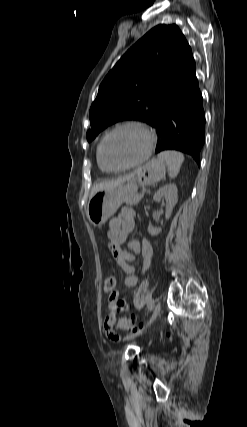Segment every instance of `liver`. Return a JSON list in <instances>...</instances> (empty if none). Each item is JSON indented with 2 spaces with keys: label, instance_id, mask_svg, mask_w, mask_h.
Masks as SVG:
<instances>
[{
  "label": "liver",
  "instance_id": "obj_1",
  "mask_svg": "<svg viewBox=\"0 0 247 427\" xmlns=\"http://www.w3.org/2000/svg\"><path fill=\"white\" fill-rule=\"evenodd\" d=\"M134 175H135V173H132V174L120 177L116 180H109V181L98 183L92 188L90 196H93L96 192H98L100 190L111 189V188L117 187L120 184L130 180Z\"/></svg>",
  "mask_w": 247,
  "mask_h": 427
}]
</instances>
